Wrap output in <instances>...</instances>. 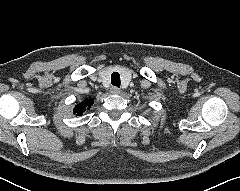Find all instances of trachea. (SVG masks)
Returning <instances> with one entry per match:
<instances>
[{"label": "trachea", "instance_id": "trachea-1", "mask_svg": "<svg viewBox=\"0 0 240 191\" xmlns=\"http://www.w3.org/2000/svg\"><path fill=\"white\" fill-rule=\"evenodd\" d=\"M111 83L116 87H120V74L118 72L111 74Z\"/></svg>", "mask_w": 240, "mask_h": 191}]
</instances>
